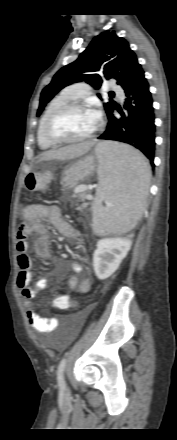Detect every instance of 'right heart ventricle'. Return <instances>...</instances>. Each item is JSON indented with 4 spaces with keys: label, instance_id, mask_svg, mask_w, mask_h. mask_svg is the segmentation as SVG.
<instances>
[{
    "label": "right heart ventricle",
    "instance_id": "e07e8e85",
    "mask_svg": "<svg viewBox=\"0 0 177 440\" xmlns=\"http://www.w3.org/2000/svg\"><path fill=\"white\" fill-rule=\"evenodd\" d=\"M73 98L67 91L60 93L50 100L47 104L38 124L37 128V140L42 149H50L55 147L56 144L50 142L44 135V125L48 117L59 107L69 102H72Z\"/></svg>",
    "mask_w": 177,
    "mask_h": 440
}]
</instances>
